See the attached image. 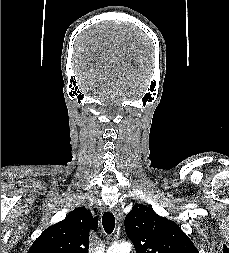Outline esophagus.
Segmentation results:
<instances>
[{
    "mask_svg": "<svg viewBox=\"0 0 229 253\" xmlns=\"http://www.w3.org/2000/svg\"><path fill=\"white\" fill-rule=\"evenodd\" d=\"M112 212H113V214L115 215V217L117 218V219H120L121 218V213H120V210L118 209V208H113L112 209Z\"/></svg>",
    "mask_w": 229,
    "mask_h": 253,
    "instance_id": "1",
    "label": "esophagus"
}]
</instances>
